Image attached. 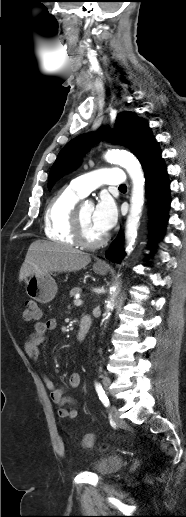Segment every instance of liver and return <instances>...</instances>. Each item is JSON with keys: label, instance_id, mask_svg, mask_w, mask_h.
Instances as JSON below:
<instances>
[{"label": "liver", "instance_id": "6515ba94", "mask_svg": "<svg viewBox=\"0 0 186 517\" xmlns=\"http://www.w3.org/2000/svg\"><path fill=\"white\" fill-rule=\"evenodd\" d=\"M90 262L91 257L87 253L70 246L38 240L28 249L20 268L19 281L32 275L79 271Z\"/></svg>", "mask_w": 186, "mask_h": 517}]
</instances>
